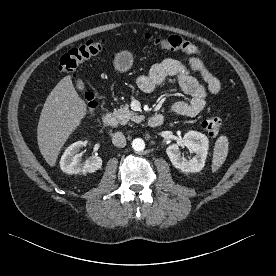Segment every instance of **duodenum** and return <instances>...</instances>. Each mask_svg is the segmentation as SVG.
<instances>
[{"label":"duodenum","instance_id":"obj_1","mask_svg":"<svg viewBox=\"0 0 276 276\" xmlns=\"http://www.w3.org/2000/svg\"><path fill=\"white\" fill-rule=\"evenodd\" d=\"M104 125L114 128L118 125V119L112 112H105L102 117ZM164 117L161 114H155L148 119V126L151 128H157L162 125Z\"/></svg>","mask_w":276,"mask_h":276}]
</instances>
